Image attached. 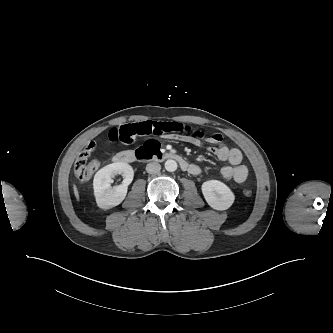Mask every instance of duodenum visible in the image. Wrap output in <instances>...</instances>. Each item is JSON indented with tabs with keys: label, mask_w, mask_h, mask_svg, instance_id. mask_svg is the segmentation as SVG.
Wrapping results in <instances>:
<instances>
[{
	"label": "duodenum",
	"mask_w": 333,
	"mask_h": 333,
	"mask_svg": "<svg viewBox=\"0 0 333 333\" xmlns=\"http://www.w3.org/2000/svg\"><path fill=\"white\" fill-rule=\"evenodd\" d=\"M176 161L182 170L190 172L193 165L185 160L181 155L170 152H154L151 149L143 148L137 151L125 150L120 152L115 161L118 163H133V162H146V161Z\"/></svg>",
	"instance_id": "410a0bca"
}]
</instances>
